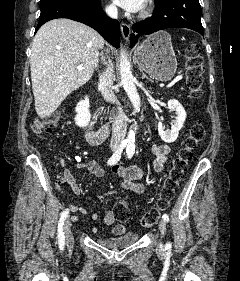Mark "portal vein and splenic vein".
I'll use <instances>...</instances> for the list:
<instances>
[{"mask_svg": "<svg viewBox=\"0 0 240 281\" xmlns=\"http://www.w3.org/2000/svg\"><path fill=\"white\" fill-rule=\"evenodd\" d=\"M78 70H83V66L79 65L77 67ZM182 80V76H177L176 78H174L167 86L166 88H170L172 87L175 83H177L178 81Z\"/></svg>", "mask_w": 240, "mask_h": 281, "instance_id": "1", "label": "portal vein and splenic vein"}]
</instances>
